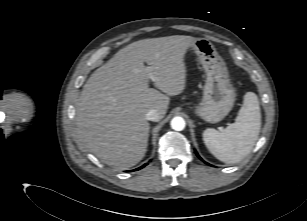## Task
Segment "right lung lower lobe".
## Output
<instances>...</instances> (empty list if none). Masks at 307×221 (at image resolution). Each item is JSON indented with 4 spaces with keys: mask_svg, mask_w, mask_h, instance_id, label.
Segmentation results:
<instances>
[{
    "mask_svg": "<svg viewBox=\"0 0 307 221\" xmlns=\"http://www.w3.org/2000/svg\"><path fill=\"white\" fill-rule=\"evenodd\" d=\"M145 165H146V164H145ZM145 165H143V166L139 167V168H138V169H136V170H139V169L143 168Z\"/></svg>",
    "mask_w": 307,
    "mask_h": 221,
    "instance_id": "98d812e1",
    "label": "right lung lower lobe"
}]
</instances>
